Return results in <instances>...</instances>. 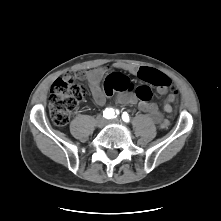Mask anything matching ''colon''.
Masks as SVG:
<instances>
[{"label":"colon","mask_w":221,"mask_h":221,"mask_svg":"<svg viewBox=\"0 0 221 221\" xmlns=\"http://www.w3.org/2000/svg\"><path fill=\"white\" fill-rule=\"evenodd\" d=\"M139 78L149 84L157 87H170V78L148 67H143L138 71ZM130 88L134 90L136 96L144 101L150 100L152 97V90L148 85H139L133 87L131 85L123 86L118 89ZM115 89L108 83L105 85V91L111 95ZM87 94L86 88L76 81L74 75H66L54 81L50 96H49V111L55 125L63 127L70 119L71 113L76 109L80 101H82ZM177 94V91H174ZM167 126L166 124L164 125Z\"/></svg>","instance_id":"obj_1"}]
</instances>
